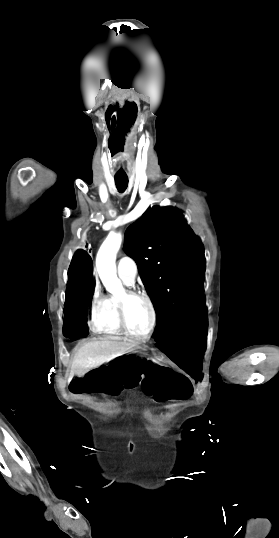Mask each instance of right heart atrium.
Returning a JSON list of instances; mask_svg holds the SVG:
<instances>
[{
    "instance_id": "d8ad5b80",
    "label": "right heart atrium",
    "mask_w": 279,
    "mask_h": 538,
    "mask_svg": "<svg viewBox=\"0 0 279 538\" xmlns=\"http://www.w3.org/2000/svg\"><path fill=\"white\" fill-rule=\"evenodd\" d=\"M131 219H134V218L132 217ZM93 297H94V303L95 304H97L100 301L101 297H102L100 291L97 288H95V290H94Z\"/></svg>"
}]
</instances>
